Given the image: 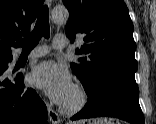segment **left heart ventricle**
<instances>
[{
    "instance_id": "b2bd125f",
    "label": "left heart ventricle",
    "mask_w": 156,
    "mask_h": 124,
    "mask_svg": "<svg viewBox=\"0 0 156 124\" xmlns=\"http://www.w3.org/2000/svg\"><path fill=\"white\" fill-rule=\"evenodd\" d=\"M78 99H79L78 93L73 87L71 92L68 94L65 101L63 102V105L73 106L78 102Z\"/></svg>"
}]
</instances>
